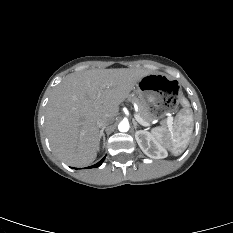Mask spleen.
I'll return each mask as SVG.
<instances>
[{"label": "spleen", "mask_w": 233, "mask_h": 233, "mask_svg": "<svg viewBox=\"0 0 233 233\" xmlns=\"http://www.w3.org/2000/svg\"><path fill=\"white\" fill-rule=\"evenodd\" d=\"M183 108L177 114L171 128L156 127L152 130L153 137L168 148L174 156H178L187 148L193 133V111L186 98L181 99Z\"/></svg>", "instance_id": "3e777b00"}]
</instances>
